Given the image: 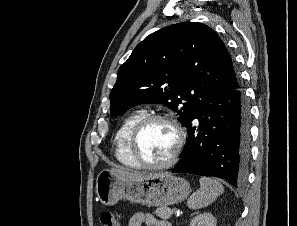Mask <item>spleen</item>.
<instances>
[{
	"label": "spleen",
	"mask_w": 297,
	"mask_h": 226,
	"mask_svg": "<svg viewBox=\"0 0 297 226\" xmlns=\"http://www.w3.org/2000/svg\"><path fill=\"white\" fill-rule=\"evenodd\" d=\"M199 182L200 188L187 200V206L192 210L207 207L224 192L223 185L217 179L201 177Z\"/></svg>",
	"instance_id": "1"
}]
</instances>
